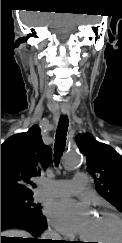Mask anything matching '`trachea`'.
Segmentation results:
<instances>
[{"label":"trachea","instance_id":"trachea-1","mask_svg":"<svg viewBox=\"0 0 122 243\" xmlns=\"http://www.w3.org/2000/svg\"><path fill=\"white\" fill-rule=\"evenodd\" d=\"M68 117L61 116L57 130H56V143H55V153H54V161L56 164L59 163L60 156L64 151L65 143H66V135L68 130Z\"/></svg>","mask_w":122,"mask_h":243}]
</instances>
